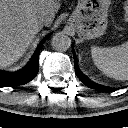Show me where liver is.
I'll use <instances>...</instances> for the list:
<instances>
[{"instance_id":"6515ba94","label":"liver","mask_w":128,"mask_h":128,"mask_svg":"<svg viewBox=\"0 0 128 128\" xmlns=\"http://www.w3.org/2000/svg\"><path fill=\"white\" fill-rule=\"evenodd\" d=\"M61 0H0V67H8L27 51L43 28L39 15L48 13L50 26Z\"/></svg>"}]
</instances>
